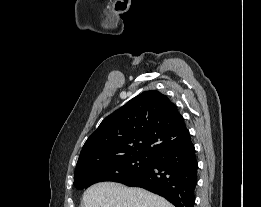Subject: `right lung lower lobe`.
<instances>
[{"mask_svg":"<svg viewBox=\"0 0 261 207\" xmlns=\"http://www.w3.org/2000/svg\"><path fill=\"white\" fill-rule=\"evenodd\" d=\"M198 163L191 140L151 157L149 165L119 181L156 193L176 207H194Z\"/></svg>","mask_w":261,"mask_h":207,"instance_id":"right-lung-lower-lobe-1","label":"right lung lower lobe"}]
</instances>
